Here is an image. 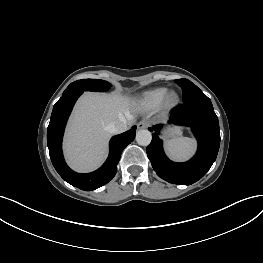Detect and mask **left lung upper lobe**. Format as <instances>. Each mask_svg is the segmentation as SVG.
<instances>
[{
    "label": "left lung upper lobe",
    "instance_id": "left-lung-upper-lobe-1",
    "mask_svg": "<svg viewBox=\"0 0 263 263\" xmlns=\"http://www.w3.org/2000/svg\"><path fill=\"white\" fill-rule=\"evenodd\" d=\"M175 82L183 90L184 102L205 95L196 85L187 79L175 80Z\"/></svg>",
    "mask_w": 263,
    "mask_h": 263
}]
</instances>
